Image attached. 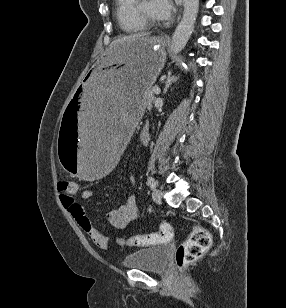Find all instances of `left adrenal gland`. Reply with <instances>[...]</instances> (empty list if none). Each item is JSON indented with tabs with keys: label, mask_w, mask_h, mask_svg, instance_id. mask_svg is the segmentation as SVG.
I'll return each instance as SVG.
<instances>
[{
	"label": "left adrenal gland",
	"mask_w": 286,
	"mask_h": 308,
	"mask_svg": "<svg viewBox=\"0 0 286 308\" xmlns=\"http://www.w3.org/2000/svg\"><path fill=\"white\" fill-rule=\"evenodd\" d=\"M179 76H171V71L168 72V76L165 81V87L163 89V93L165 94L168 91V88L172 83L176 82L178 80Z\"/></svg>",
	"instance_id": "1"
}]
</instances>
